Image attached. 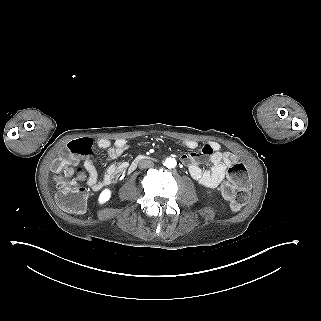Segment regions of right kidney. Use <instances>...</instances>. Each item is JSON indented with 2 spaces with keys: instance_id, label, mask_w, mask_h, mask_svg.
<instances>
[{
  "instance_id": "1",
  "label": "right kidney",
  "mask_w": 321,
  "mask_h": 321,
  "mask_svg": "<svg viewBox=\"0 0 321 321\" xmlns=\"http://www.w3.org/2000/svg\"><path fill=\"white\" fill-rule=\"evenodd\" d=\"M111 197V191L109 189H104L98 199L99 204L106 203Z\"/></svg>"
}]
</instances>
